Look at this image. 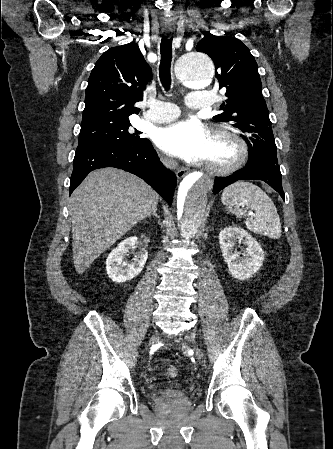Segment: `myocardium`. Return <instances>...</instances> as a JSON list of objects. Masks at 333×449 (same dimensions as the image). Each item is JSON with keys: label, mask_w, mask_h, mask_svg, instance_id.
<instances>
[{"label": "myocardium", "mask_w": 333, "mask_h": 449, "mask_svg": "<svg viewBox=\"0 0 333 449\" xmlns=\"http://www.w3.org/2000/svg\"><path fill=\"white\" fill-rule=\"evenodd\" d=\"M211 138L228 144L232 150L231 158L223 163L206 161L205 168L215 175H228L238 170L247 160L249 149L246 141L237 133L218 128L212 132Z\"/></svg>", "instance_id": "myocardium-1"}]
</instances>
